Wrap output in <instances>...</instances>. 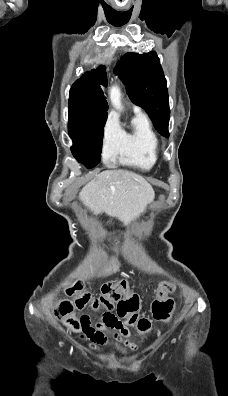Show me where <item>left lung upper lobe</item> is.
Returning <instances> with one entry per match:
<instances>
[{
	"mask_svg": "<svg viewBox=\"0 0 228 396\" xmlns=\"http://www.w3.org/2000/svg\"><path fill=\"white\" fill-rule=\"evenodd\" d=\"M114 72L126 85L130 99L146 110L157 131L169 136L170 118L166 79L156 52L126 53Z\"/></svg>",
	"mask_w": 228,
	"mask_h": 396,
	"instance_id": "left-lung-upper-lobe-1",
	"label": "left lung upper lobe"
}]
</instances>
